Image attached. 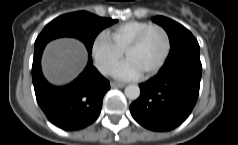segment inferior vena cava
<instances>
[{
	"label": "inferior vena cava",
	"instance_id": "602c4592",
	"mask_svg": "<svg viewBox=\"0 0 238 145\" xmlns=\"http://www.w3.org/2000/svg\"><path fill=\"white\" fill-rule=\"evenodd\" d=\"M109 71H110V70H109L108 68H103V69H102V72H103L104 74H107Z\"/></svg>",
	"mask_w": 238,
	"mask_h": 145
}]
</instances>
